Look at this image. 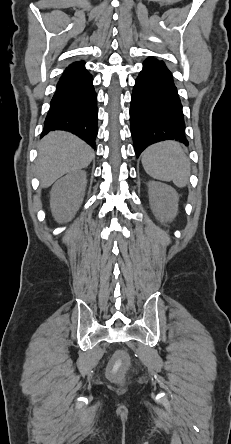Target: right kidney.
<instances>
[{
    "label": "right kidney",
    "instance_id": "right-kidney-1",
    "mask_svg": "<svg viewBox=\"0 0 231 444\" xmlns=\"http://www.w3.org/2000/svg\"><path fill=\"white\" fill-rule=\"evenodd\" d=\"M86 172L68 173L51 189L50 207L58 222L70 220L79 209L85 194Z\"/></svg>",
    "mask_w": 231,
    "mask_h": 444
}]
</instances>
